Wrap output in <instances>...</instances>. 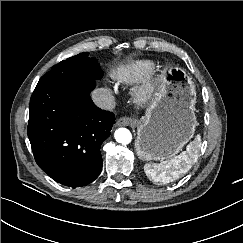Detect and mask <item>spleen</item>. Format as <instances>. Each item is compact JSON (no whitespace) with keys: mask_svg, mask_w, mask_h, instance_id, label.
<instances>
[{"mask_svg":"<svg viewBox=\"0 0 243 243\" xmlns=\"http://www.w3.org/2000/svg\"><path fill=\"white\" fill-rule=\"evenodd\" d=\"M200 147V135H197L196 139L187 145L186 151H183L179 155L159 164H145V174L155 183L167 184L173 182L191 169L198 159Z\"/></svg>","mask_w":243,"mask_h":243,"instance_id":"1","label":"spleen"}]
</instances>
